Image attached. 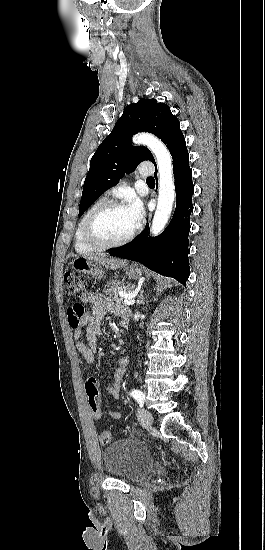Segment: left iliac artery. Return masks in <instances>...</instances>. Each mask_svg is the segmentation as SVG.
I'll list each match as a JSON object with an SVG mask.
<instances>
[{"label":"left iliac artery","mask_w":265,"mask_h":550,"mask_svg":"<svg viewBox=\"0 0 265 550\" xmlns=\"http://www.w3.org/2000/svg\"><path fill=\"white\" fill-rule=\"evenodd\" d=\"M129 394H130V396H132L140 404V406H143L145 396H144L142 391L133 390Z\"/></svg>","instance_id":"left-iliac-artery-1"}]
</instances>
